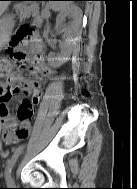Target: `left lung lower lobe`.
<instances>
[{
	"mask_svg": "<svg viewBox=\"0 0 137 189\" xmlns=\"http://www.w3.org/2000/svg\"><path fill=\"white\" fill-rule=\"evenodd\" d=\"M72 1H87V0H72Z\"/></svg>",
	"mask_w": 137,
	"mask_h": 189,
	"instance_id": "left-lung-lower-lobe-1",
	"label": "left lung lower lobe"
}]
</instances>
